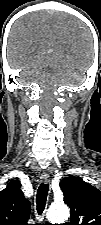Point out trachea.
Here are the masks:
<instances>
[{
	"label": "trachea",
	"instance_id": "obj_1",
	"mask_svg": "<svg viewBox=\"0 0 101 225\" xmlns=\"http://www.w3.org/2000/svg\"><path fill=\"white\" fill-rule=\"evenodd\" d=\"M48 191H49L48 183H42L37 190V195H36L37 207L36 208H37L38 215H41L45 209Z\"/></svg>",
	"mask_w": 101,
	"mask_h": 225
}]
</instances>
